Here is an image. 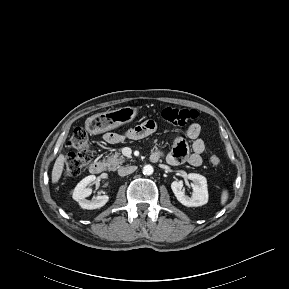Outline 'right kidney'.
Wrapping results in <instances>:
<instances>
[{
  "mask_svg": "<svg viewBox=\"0 0 289 289\" xmlns=\"http://www.w3.org/2000/svg\"><path fill=\"white\" fill-rule=\"evenodd\" d=\"M95 180H96L95 175H89L85 177L84 179H82L74 189L72 197L76 202H78L80 207L83 209L92 210V209L101 208L109 200V197L107 195H101V196L99 195V196H96L92 200L86 199V197H88L92 193V190L87 188V186L91 184L92 182H94Z\"/></svg>",
  "mask_w": 289,
  "mask_h": 289,
  "instance_id": "obj_1",
  "label": "right kidney"
}]
</instances>
